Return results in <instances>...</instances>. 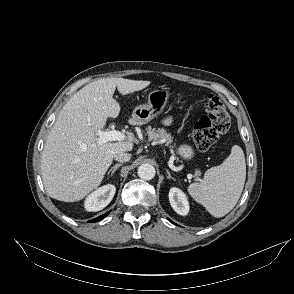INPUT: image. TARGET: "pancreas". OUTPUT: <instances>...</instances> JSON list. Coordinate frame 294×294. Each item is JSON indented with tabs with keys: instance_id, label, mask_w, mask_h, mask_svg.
Listing matches in <instances>:
<instances>
[{
	"instance_id": "pancreas-1",
	"label": "pancreas",
	"mask_w": 294,
	"mask_h": 294,
	"mask_svg": "<svg viewBox=\"0 0 294 294\" xmlns=\"http://www.w3.org/2000/svg\"><path fill=\"white\" fill-rule=\"evenodd\" d=\"M146 131H147L149 141H154L156 143H166L167 146L170 145L171 147L173 139L171 135L167 133L164 128H159L156 130L155 128H152L151 126H148L146 128Z\"/></svg>"
}]
</instances>
